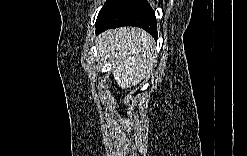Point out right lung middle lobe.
<instances>
[{
  "label": "right lung middle lobe",
  "mask_w": 247,
  "mask_h": 156,
  "mask_svg": "<svg viewBox=\"0 0 247 156\" xmlns=\"http://www.w3.org/2000/svg\"><path fill=\"white\" fill-rule=\"evenodd\" d=\"M113 0H107L106 3L104 4V6L102 7V9L99 12V15L105 10V8L109 5V3H111ZM98 15V16H99Z\"/></svg>",
  "instance_id": "dd1d6c3e"
}]
</instances>
